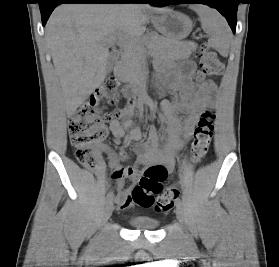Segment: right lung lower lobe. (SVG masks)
I'll use <instances>...</instances> for the list:
<instances>
[{
  "instance_id": "right-lung-lower-lobe-1",
  "label": "right lung lower lobe",
  "mask_w": 279,
  "mask_h": 267,
  "mask_svg": "<svg viewBox=\"0 0 279 267\" xmlns=\"http://www.w3.org/2000/svg\"><path fill=\"white\" fill-rule=\"evenodd\" d=\"M141 0H42L39 2L42 24L45 26L52 11L62 3H141Z\"/></svg>"
}]
</instances>
